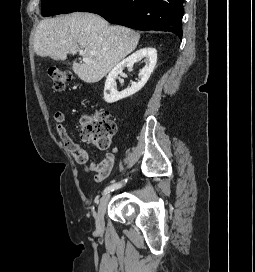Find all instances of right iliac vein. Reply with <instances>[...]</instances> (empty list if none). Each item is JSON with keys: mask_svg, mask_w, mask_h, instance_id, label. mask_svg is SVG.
<instances>
[{"mask_svg": "<svg viewBox=\"0 0 255 272\" xmlns=\"http://www.w3.org/2000/svg\"><path fill=\"white\" fill-rule=\"evenodd\" d=\"M109 200H110L109 193H106L105 195H103V197L100 200L97 217H96V228L98 231H102L104 228V215H105Z\"/></svg>", "mask_w": 255, "mask_h": 272, "instance_id": "63e3f726", "label": "right iliac vein"}]
</instances>
